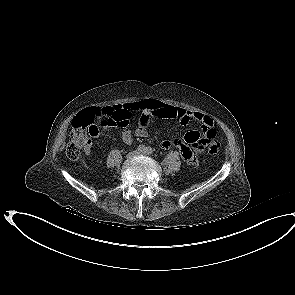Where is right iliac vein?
I'll use <instances>...</instances> for the list:
<instances>
[{
  "label": "right iliac vein",
  "instance_id": "63e3f726",
  "mask_svg": "<svg viewBox=\"0 0 295 295\" xmlns=\"http://www.w3.org/2000/svg\"><path fill=\"white\" fill-rule=\"evenodd\" d=\"M138 154L137 151H133V152H130L128 155H127V159H132L133 157H135L136 155Z\"/></svg>",
  "mask_w": 295,
  "mask_h": 295
}]
</instances>
